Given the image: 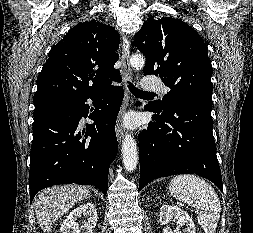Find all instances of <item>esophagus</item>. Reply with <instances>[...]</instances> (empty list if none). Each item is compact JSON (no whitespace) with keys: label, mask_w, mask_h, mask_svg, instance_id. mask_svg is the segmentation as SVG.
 <instances>
[{"label":"esophagus","mask_w":253,"mask_h":233,"mask_svg":"<svg viewBox=\"0 0 253 233\" xmlns=\"http://www.w3.org/2000/svg\"><path fill=\"white\" fill-rule=\"evenodd\" d=\"M129 55H130V40L129 36H123L122 39V55H121V61H122V70L124 74V79L125 82H129L132 80V72L130 68V63H129ZM132 103L131 97H130V92L125 86V97L123 104L121 106L117 122H116V136L117 140L121 142L122 137H123V128H122V118L126 112L127 107Z\"/></svg>","instance_id":"1"}]
</instances>
